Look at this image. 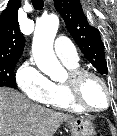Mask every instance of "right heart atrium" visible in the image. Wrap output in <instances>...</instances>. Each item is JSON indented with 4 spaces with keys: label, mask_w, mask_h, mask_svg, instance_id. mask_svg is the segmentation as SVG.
I'll use <instances>...</instances> for the list:
<instances>
[{
    "label": "right heart atrium",
    "mask_w": 117,
    "mask_h": 136,
    "mask_svg": "<svg viewBox=\"0 0 117 136\" xmlns=\"http://www.w3.org/2000/svg\"><path fill=\"white\" fill-rule=\"evenodd\" d=\"M16 82L24 96L41 104H47L53 82L32 60L25 61L16 72Z\"/></svg>",
    "instance_id": "1"
}]
</instances>
